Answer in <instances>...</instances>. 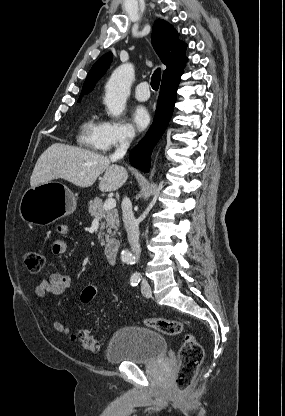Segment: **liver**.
I'll list each match as a JSON object with an SVG mask.
<instances>
[{
	"instance_id": "1",
	"label": "liver",
	"mask_w": 285,
	"mask_h": 416,
	"mask_svg": "<svg viewBox=\"0 0 285 416\" xmlns=\"http://www.w3.org/2000/svg\"><path fill=\"white\" fill-rule=\"evenodd\" d=\"M106 156L90 150L52 144L41 154L30 178L31 188L48 184L52 180H67L79 188H90L104 174L99 184L100 192H115L125 184L128 174L122 166H110Z\"/></svg>"
}]
</instances>
